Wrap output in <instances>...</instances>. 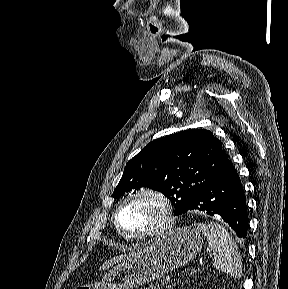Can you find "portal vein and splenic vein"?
<instances>
[{"instance_id":"18ae733b","label":"portal vein and splenic vein","mask_w":288,"mask_h":289,"mask_svg":"<svg viewBox=\"0 0 288 289\" xmlns=\"http://www.w3.org/2000/svg\"><path fill=\"white\" fill-rule=\"evenodd\" d=\"M161 285L168 287V281H167V280L163 281V282L161 283Z\"/></svg>"}]
</instances>
